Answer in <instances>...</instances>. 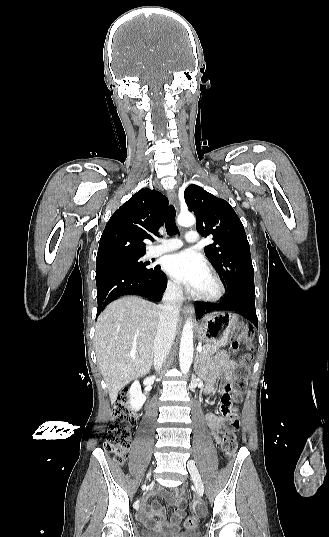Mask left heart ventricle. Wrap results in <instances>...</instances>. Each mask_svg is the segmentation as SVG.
Returning <instances> with one entry per match:
<instances>
[{"mask_svg": "<svg viewBox=\"0 0 329 537\" xmlns=\"http://www.w3.org/2000/svg\"><path fill=\"white\" fill-rule=\"evenodd\" d=\"M213 289H214V282L212 278L210 277V275L207 274L197 291L202 292V293H209L213 291Z\"/></svg>", "mask_w": 329, "mask_h": 537, "instance_id": "b2bd125f", "label": "left heart ventricle"}]
</instances>
